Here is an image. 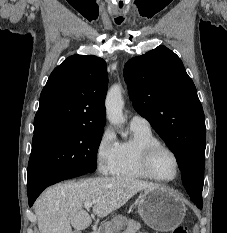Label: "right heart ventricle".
I'll return each instance as SVG.
<instances>
[{
    "label": "right heart ventricle",
    "instance_id": "e07e8e85",
    "mask_svg": "<svg viewBox=\"0 0 227 233\" xmlns=\"http://www.w3.org/2000/svg\"><path fill=\"white\" fill-rule=\"evenodd\" d=\"M132 139L119 143L118 164L114 175L147 179L148 176L143 172L140 165L141 150L150 144L159 143L151 130L131 128Z\"/></svg>",
    "mask_w": 227,
    "mask_h": 233
}]
</instances>
